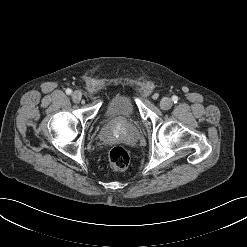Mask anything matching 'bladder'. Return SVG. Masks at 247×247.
Wrapping results in <instances>:
<instances>
[{"label": "bladder", "instance_id": "31cf9c89", "mask_svg": "<svg viewBox=\"0 0 247 247\" xmlns=\"http://www.w3.org/2000/svg\"><path fill=\"white\" fill-rule=\"evenodd\" d=\"M134 115V103L127 94H117L110 98L103 112L106 125H121Z\"/></svg>", "mask_w": 247, "mask_h": 247}]
</instances>
